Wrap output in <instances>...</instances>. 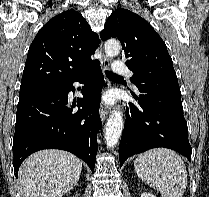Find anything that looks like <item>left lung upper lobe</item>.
<instances>
[{
	"instance_id": "1",
	"label": "left lung upper lobe",
	"mask_w": 209,
	"mask_h": 197,
	"mask_svg": "<svg viewBox=\"0 0 209 197\" xmlns=\"http://www.w3.org/2000/svg\"><path fill=\"white\" fill-rule=\"evenodd\" d=\"M102 40L118 38L134 73L131 80L139 84L179 86L172 59L161 37L139 15L119 8L105 23Z\"/></svg>"
}]
</instances>
